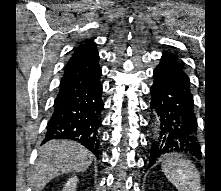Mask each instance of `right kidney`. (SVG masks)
I'll return each instance as SVG.
<instances>
[{"label": "right kidney", "mask_w": 221, "mask_h": 191, "mask_svg": "<svg viewBox=\"0 0 221 191\" xmlns=\"http://www.w3.org/2000/svg\"><path fill=\"white\" fill-rule=\"evenodd\" d=\"M78 183V178L76 176L71 177L67 183L64 185L62 191H75Z\"/></svg>", "instance_id": "obj_1"}]
</instances>
